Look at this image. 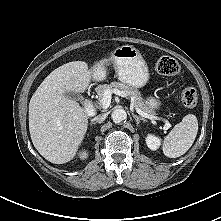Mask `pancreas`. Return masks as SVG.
Returning <instances> with one entry per match:
<instances>
[{"mask_svg":"<svg viewBox=\"0 0 221 221\" xmlns=\"http://www.w3.org/2000/svg\"><path fill=\"white\" fill-rule=\"evenodd\" d=\"M107 90H119L128 95L133 103L134 107L139 108L145 113H152L150 108L144 102L141 93L136 88L125 84L123 82H111L110 84L98 85L96 87V92L98 94L99 100L103 98V94Z\"/></svg>","mask_w":221,"mask_h":221,"instance_id":"cf45deb5","label":"pancreas"}]
</instances>
